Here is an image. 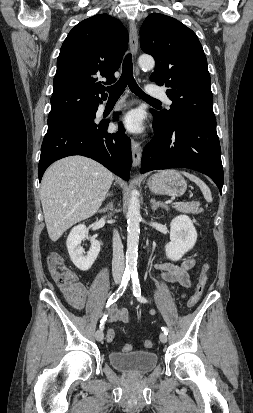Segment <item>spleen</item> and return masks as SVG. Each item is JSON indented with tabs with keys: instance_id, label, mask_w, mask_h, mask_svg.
<instances>
[{
	"instance_id": "obj_1",
	"label": "spleen",
	"mask_w": 253,
	"mask_h": 413,
	"mask_svg": "<svg viewBox=\"0 0 253 413\" xmlns=\"http://www.w3.org/2000/svg\"><path fill=\"white\" fill-rule=\"evenodd\" d=\"M184 176H186L189 180L193 181L195 184H197V186H199L205 200L207 202H212V194L211 191L209 189V187L205 184V182H203L200 178H198L197 176L190 174L188 172L182 171L181 172Z\"/></svg>"
}]
</instances>
